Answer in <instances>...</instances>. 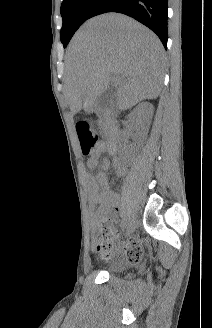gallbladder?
Segmentation results:
<instances>
[{
    "mask_svg": "<svg viewBox=\"0 0 212 328\" xmlns=\"http://www.w3.org/2000/svg\"><path fill=\"white\" fill-rule=\"evenodd\" d=\"M115 101V94L112 89L106 90L103 94L97 97L95 101V112H100L107 108H111Z\"/></svg>",
    "mask_w": 212,
    "mask_h": 328,
    "instance_id": "bac80fb5",
    "label": "gallbladder"
}]
</instances>
